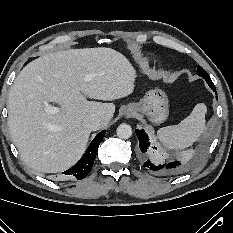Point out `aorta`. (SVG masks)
Wrapping results in <instances>:
<instances>
[{
  "label": "aorta",
  "mask_w": 233,
  "mask_h": 233,
  "mask_svg": "<svg viewBox=\"0 0 233 233\" xmlns=\"http://www.w3.org/2000/svg\"><path fill=\"white\" fill-rule=\"evenodd\" d=\"M132 135V128L128 124H120L117 128V136L121 139H128Z\"/></svg>",
  "instance_id": "aorta-1"
}]
</instances>
